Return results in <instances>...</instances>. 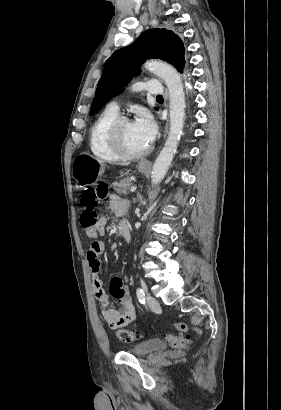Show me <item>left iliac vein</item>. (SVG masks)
Instances as JSON below:
<instances>
[{
	"label": "left iliac vein",
	"instance_id": "left-iliac-vein-1",
	"mask_svg": "<svg viewBox=\"0 0 281 410\" xmlns=\"http://www.w3.org/2000/svg\"><path fill=\"white\" fill-rule=\"evenodd\" d=\"M146 303L147 305L152 308V309H157L159 308V302L157 301V299H155L153 296L151 295H147L146 296Z\"/></svg>",
	"mask_w": 281,
	"mask_h": 410
}]
</instances>
